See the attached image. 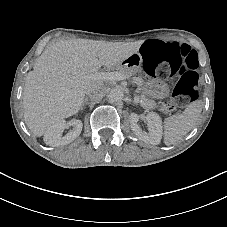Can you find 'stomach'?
Segmentation results:
<instances>
[{
    "label": "stomach",
    "mask_w": 227,
    "mask_h": 227,
    "mask_svg": "<svg viewBox=\"0 0 227 227\" xmlns=\"http://www.w3.org/2000/svg\"><path fill=\"white\" fill-rule=\"evenodd\" d=\"M143 90L146 92V88H143Z\"/></svg>",
    "instance_id": "obj_1"
}]
</instances>
